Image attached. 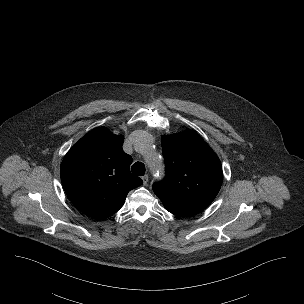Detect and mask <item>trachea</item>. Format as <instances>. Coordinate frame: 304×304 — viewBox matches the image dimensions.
<instances>
[{"mask_svg":"<svg viewBox=\"0 0 304 304\" xmlns=\"http://www.w3.org/2000/svg\"><path fill=\"white\" fill-rule=\"evenodd\" d=\"M132 173L143 176L145 174V165L141 162H136L131 167Z\"/></svg>","mask_w":304,"mask_h":304,"instance_id":"1","label":"trachea"}]
</instances>
